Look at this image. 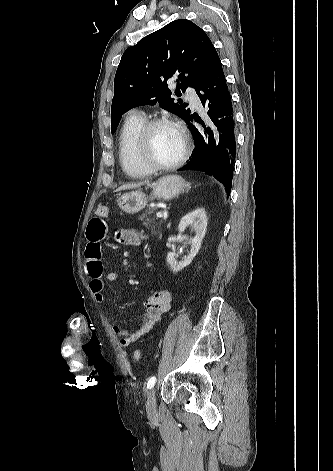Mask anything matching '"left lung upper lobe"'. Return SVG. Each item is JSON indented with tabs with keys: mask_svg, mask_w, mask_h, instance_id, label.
<instances>
[{
	"mask_svg": "<svg viewBox=\"0 0 333 471\" xmlns=\"http://www.w3.org/2000/svg\"><path fill=\"white\" fill-rule=\"evenodd\" d=\"M216 53L206 33L186 19L175 20L128 48L115 75L111 132L125 112L140 105L159 103L186 121L188 104L175 103L166 82L176 81L177 96L187 87L197 88Z\"/></svg>",
	"mask_w": 333,
	"mask_h": 471,
	"instance_id": "left-lung-upper-lobe-1",
	"label": "left lung upper lobe"
}]
</instances>
